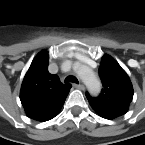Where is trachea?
<instances>
[{
	"label": "trachea",
	"instance_id": "1",
	"mask_svg": "<svg viewBox=\"0 0 145 145\" xmlns=\"http://www.w3.org/2000/svg\"><path fill=\"white\" fill-rule=\"evenodd\" d=\"M65 82H73V83H77V84L79 83L75 76H67L65 78Z\"/></svg>",
	"mask_w": 145,
	"mask_h": 145
}]
</instances>
